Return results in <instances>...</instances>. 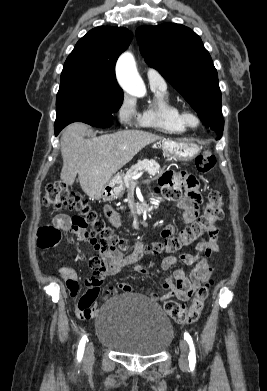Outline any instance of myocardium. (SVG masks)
I'll use <instances>...</instances> for the list:
<instances>
[{"instance_id":"obj_1","label":"myocardium","mask_w":267,"mask_h":391,"mask_svg":"<svg viewBox=\"0 0 267 391\" xmlns=\"http://www.w3.org/2000/svg\"><path fill=\"white\" fill-rule=\"evenodd\" d=\"M181 115L187 127L198 128L201 125L200 116L195 111L186 109L181 111Z\"/></svg>"}]
</instances>
